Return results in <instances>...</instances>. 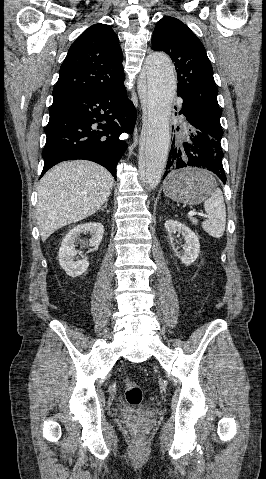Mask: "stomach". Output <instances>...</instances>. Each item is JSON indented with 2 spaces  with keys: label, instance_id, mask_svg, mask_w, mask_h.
<instances>
[{
  "label": "stomach",
  "instance_id": "1",
  "mask_svg": "<svg viewBox=\"0 0 266 479\" xmlns=\"http://www.w3.org/2000/svg\"><path fill=\"white\" fill-rule=\"evenodd\" d=\"M216 182L203 169L188 167L172 172L164 182V193L176 202L197 205L215 190Z\"/></svg>",
  "mask_w": 266,
  "mask_h": 479
}]
</instances>
